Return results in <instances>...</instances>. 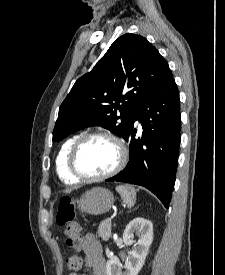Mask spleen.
Here are the masks:
<instances>
[{
	"label": "spleen",
	"instance_id": "spleen-1",
	"mask_svg": "<svg viewBox=\"0 0 225 275\" xmlns=\"http://www.w3.org/2000/svg\"><path fill=\"white\" fill-rule=\"evenodd\" d=\"M116 191L120 194L122 200L127 204L128 208H132L136 202V190L130 185L116 186Z\"/></svg>",
	"mask_w": 225,
	"mask_h": 275
}]
</instances>
